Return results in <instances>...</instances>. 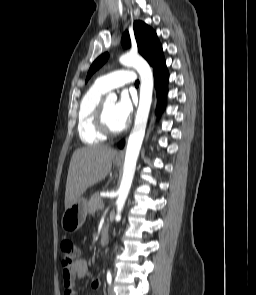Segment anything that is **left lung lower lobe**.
Segmentation results:
<instances>
[{
  "label": "left lung lower lobe",
  "instance_id": "left-lung-lower-lobe-1",
  "mask_svg": "<svg viewBox=\"0 0 256 295\" xmlns=\"http://www.w3.org/2000/svg\"><path fill=\"white\" fill-rule=\"evenodd\" d=\"M153 73L158 97L157 112L161 113L164 108L165 97L167 94V82L169 79L166 64L153 68ZM118 146L119 148H122L124 146V141L120 142Z\"/></svg>",
  "mask_w": 256,
  "mask_h": 295
}]
</instances>
